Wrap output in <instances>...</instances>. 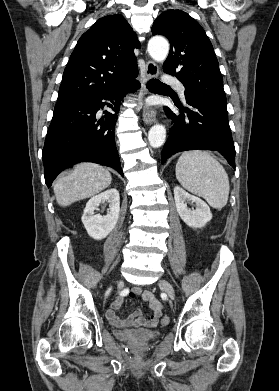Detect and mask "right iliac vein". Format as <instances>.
Wrapping results in <instances>:
<instances>
[{
	"label": "right iliac vein",
	"instance_id": "obj_1",
	"mask_svg": "<svg viewBox=\"0 0 279 391\" xmlns=\"http://www.w3.org/2000/svg\"><path fill=\"white\" fill-rule=\"evenodd\" d=\"M122 286H123V282L120 281V282H119V287H122Z\"/></svg>",
	"mask_w": 279,
	"mask_h": 391
}]
</instances>
